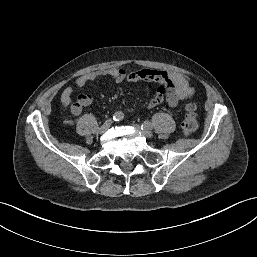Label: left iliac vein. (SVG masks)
<instances>
[{"label":"left iliac vein","instance_id":"obj_1","mask_svg":"<svg viewBox=\"0 0 257 257\" xmlns=\"http://www.w3.org/2000/svg\"><path fill=\"white\" fill-rule=\"evenodd\" d=\"M134 127L147 138H151L153 136V133L149 129H142L140 125L137 124H135Z\"/></svg>","mask_w":257,"mask_h":257}]
</instances>
